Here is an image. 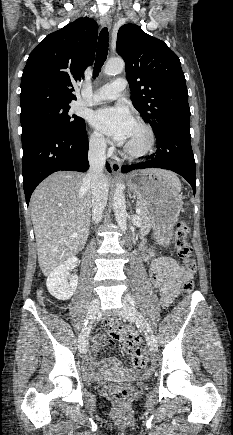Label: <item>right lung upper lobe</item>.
I'll return each mask as SVG.
<instances>
[{"mask_svg":"<svg viewBox=\"0 0 233 435\" xmlns=\"http://www.w3.org/2000/svg\"><path fill=\"white\" fill-rule=\"evenodd\" d=\"M97 23L79 18L53 32L30 53L21 78V116L38 109L69 105L73 85L94 61Z\"/></svg>","mask_w":233,"mask_h":435,"instance_id":"obj_1","label":"right lung upper lobe"}]
</instances>
